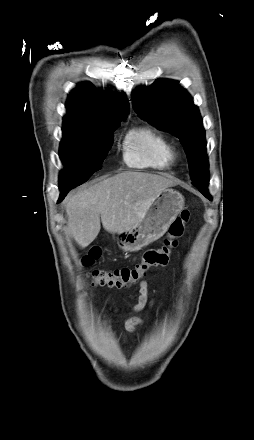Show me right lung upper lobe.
<instances>
[{"mask_svg": "<svg viewBox=\"0 0 254 440\" xmlns=\"http://www.w3.org/2000/svg\"><path fill=\"white\" fill-rule=\"evenodd\" d=\"M64 123L102 127L127 118L129 103L125 94L111 98L90 83L79 84L69 95Z\"/></svg>", "mask_w": 254, "mask_h": 440, "instance_id": "right-lung-upper-lobe-1", "label": "right lung upper lobe"}]
</instances>
